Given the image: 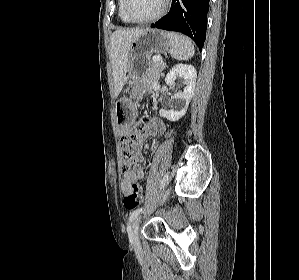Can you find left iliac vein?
I'll list each match as a JSON object with an SVG mask.
<instances>
[{
    "label": "left iliac vein",
    "mask_w": 299,
    "mask_h": 280,
    "mask_svg": "<svg viewBox=\"0 0 299 280\" xmlns=\"http://www.w3.org/2000/svg\"><path fill=\"white\" fill-rule=\"evenodd\" d=\"M140 220H141L140 216L136 217L129 231V240L135 250L138 249L140 246L139 239H138V227H139Z\"/></svg>",
    "instance_id": "obj_1"
}]
</instances>
